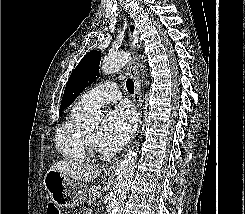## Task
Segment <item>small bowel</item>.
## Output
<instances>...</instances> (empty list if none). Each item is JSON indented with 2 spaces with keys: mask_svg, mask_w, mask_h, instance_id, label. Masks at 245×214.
Returning <instances> with one entry per match:
<instances>
[{
  "mask_svg": "<svg viewBox=\"0 0 245 214\" xmlns=\"http://www.w3.org/2000/svg\"><path fill=\"white\" fill-rule=\"evenodd\" d=\"M81 214H89L88 211H82Z\"/></svg>",
  "mask_w": 245,
  "mask_h": 214,
  "instance_id": "obj_1",
  "label": "small bowel"
}]
</instances>
